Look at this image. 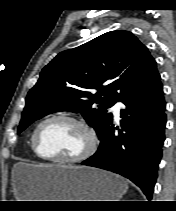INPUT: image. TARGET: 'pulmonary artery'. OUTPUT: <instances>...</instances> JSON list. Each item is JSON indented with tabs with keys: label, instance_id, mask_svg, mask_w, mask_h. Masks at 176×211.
Returning a JSON list of instances; mask_svg holds the SVG:
<instances>
[{
	"label": "pulmonary artery",
	"instance_id": "e3ab8cb5",
	"mask_svg": "<svg viewBox=\"0 0 176 211\" xmlns=\"http://www.w3.org/2000/svg\"><path fill=\"white\" fill-rule=\"evenodd\" d=\"M122 107H123V104L118 101V102L115 103V105L111 109L116 120L119 119L120 110H121Z\"/></svg>",
	"mask_w": 176,
	"mask_h": 211
}]
</instances>
